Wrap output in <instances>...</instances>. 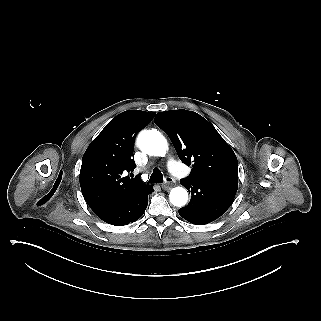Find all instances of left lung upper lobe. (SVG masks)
Wrapping results in <instances>:
<instances>
[{
    "label": "left lung upper lobe",
    "instance_id": "5c2ea615",
    "mask_svg": "<svg viewBox=\"0 0 321 321\" xmlns=\"http://www.w3.org/2000/svg\"><path fill=\"white\" fill-rule=\"evenodd\" d=\"M154 122L168 134L181 161L192 165L190 176L182 180L238 176L235 153L214 126L196 112H158Z\"/></svg>",
    "mask_w": 321,
    "mask_h": 321
}]
</instances>
